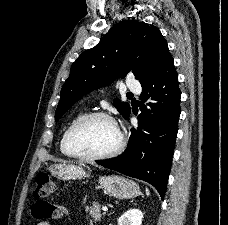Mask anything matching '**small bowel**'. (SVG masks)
<instances>
[{
    "label": "small bowel",
    "instance_id": "c3829d8e",
    "mask_svg": "<svg viewBox=\"0 0 228 225\" xmlns=\"http://www.w3.org/2000/svg\"><path fill=\"white\" fill-rule=\"evenodd\" d=\"M38 204H31L33 218H41L38 225H50L44 218H63L68 215L67 208L58 206L57 203L49 204V199H38ZM54 211V212H53Z\"/></svg>",
    "mask_w": 228,
    "mask_h": 225
}]
</instances>
